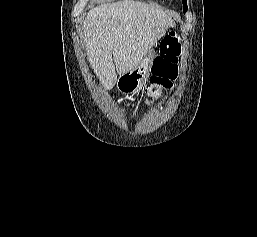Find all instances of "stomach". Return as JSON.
Here are the masks:
<instances>
[{
	"label": "stomach",
	"instance_id": "obj_1",
	"mask_svg": "<svg viewBox=\"0 0 257 237\" xmlns=\"http://www.w3.org/2000/svg\"><path fill=\"white\" fill-rule=\"evenodd\" d=\"M155 56L156 52L151 47L147 55L134 70L120 75L117 81L118 90L123 94H134L137 92L147 79Z\"/></svg>",
	"mask_w": 257,
	"mask_h": 237
}]
</instances>
